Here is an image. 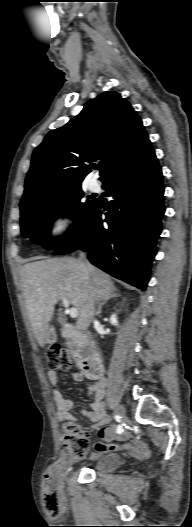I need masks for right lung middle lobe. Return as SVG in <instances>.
<instances>
[{"label":"right lung middle lobe","instance_id":"1","mask_svg":"<svg viewBox=\"0 0 192 527\" xmlns=\"http://www.w3.org/2000/svg\"><path fill=\"white\" fill-rule=\"evenodd\" d=\"M81 187L60 194L50 200L20 206L21 233L32 242H40L50 230L51 223L60 215L72 216L75 225L63 237L45 243L46 249H55L68 241L83 225L95 201L81 202Z\"/></svg>","mask_w":192,"mask_h":527}]
</instances>
